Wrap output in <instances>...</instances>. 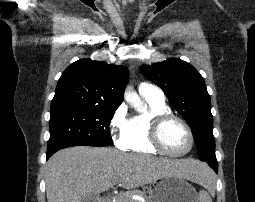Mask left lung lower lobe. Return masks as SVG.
<instances>
[{
    "label": "left lung lower lobe",
    "instance_id": "0a47b994",
    "mask_svg": "<svg viewBox=\"0 0 255 202\" xmlns=\"http://www.w3.org/2000/svg\"><path fill=\"white\" fill-rule=\"evenodd\" d=\"M208 163V165L215 171L218 172V164L216 161L213 160H202Z\"/></svg>",
    "mask_w": 255,
    "mask_h": 202
}]
</instances>
